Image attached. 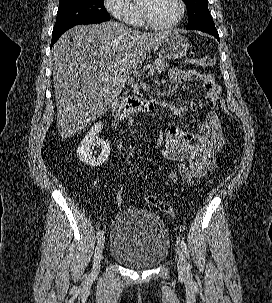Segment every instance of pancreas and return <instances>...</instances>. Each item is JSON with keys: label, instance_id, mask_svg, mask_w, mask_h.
<instances>
[{"label": "pancreas", "instance_id": "pancreas-1", "mask_svg": "<svg viewBox=\"0 0 272 303\" xmlns=\"http://www.w3.org/2000/svg\"><path fill=\"white\" fill-rule=\"evenodd\" d=\"M152 69H155L158 73H161L162 71L165 70V68L168 66L167 63L164 62L163 59H156L152 65H150ZM139 87L137 84L132 85V93L133 97L135 95H139Z\"/></svg>", "mask_w": 272, "mask_h": 303}]
</instances>
